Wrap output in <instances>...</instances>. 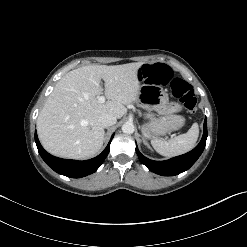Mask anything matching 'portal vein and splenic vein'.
<instances>
[{"instance_id": "1", "label": "portal vein and splenic vein", "mask_w": 247, "mask_h": 247, "mask_svg": "<svg viewBox=\"0 0 247 247\" xmlns=\"http://www.w3.org/2000/svg\"><path fill=\"white\" fill-rule=\"evenodd\" d=\"M105 100H106V99H105L104 96H100V97L98 98L99 103H104Z\"/></svg>"}]
</instances>
